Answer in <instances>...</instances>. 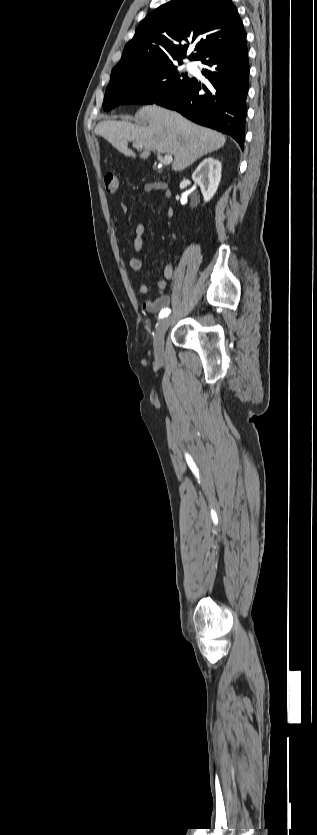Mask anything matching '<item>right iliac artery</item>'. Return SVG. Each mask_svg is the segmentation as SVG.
<instances>
[{
    "instance_id": "82829eb1",
    "label": "right iliac artery",
    "mask_w": 317,
    "mask_h": 835,
    "mask_svg": "<svg viewBox=\"0 0 317 835\" xmlns=\"http://www.w3.org/2000/svg\"><path fill=\"white\" fill-rule=\"evenodd\" d=\"M170 312H171V310L168 307L163 308L159 313V317L164 318V317L168 316L170 314Z\"/></svg>"
}]
</instances>
